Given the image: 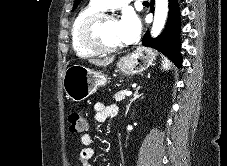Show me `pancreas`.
<instances>
[{
    "label": "pancreas",
    "instance_id": "cf45deb5",
    "mask_svg": "<svg viewBox=\"0 0 227 166\" xmlns=\"http://www.w3.org/2000/svg\"><path fill=\"white\" fill-rule=\"evenodd\" d=\"M127 90L120 91L114 95L115 101H121L125 98Z\"/></svg>",
    "mask_w": 227,
    "mask_h": 166
}]
</instances>
